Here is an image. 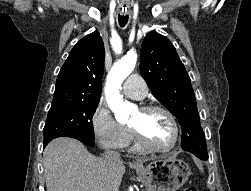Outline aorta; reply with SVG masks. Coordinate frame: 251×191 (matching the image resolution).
<instances>
[{
    "mask_svg": "<svg viewBox=\"0 0 251 191\" xmlns=\"http://www.w3.org/2000/svg\"><path fill=\"white\" fill-rule=\"evenodd\" d=\"M136 54L129 52L122 60L116 62L107 76L106 99L117 121H127L131 111H135L133 103H128L120 96L121 84L133 72L136 64Z\"/></svg>",
    "mask_w": 251,
    "mask_h": 191,
    "instance_id": "obj_1",
    "label": "aorta"
}]
</instances>
